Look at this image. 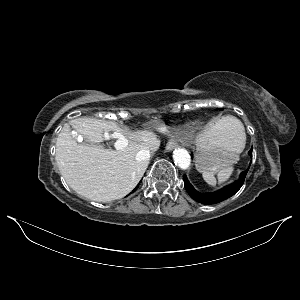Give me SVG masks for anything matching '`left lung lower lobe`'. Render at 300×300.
Returning a JSON list of instances; mask_svg holds the SVG:
<instances>
[{
  "mask_svg": "<svg viewBox=\"0 0 300 300\" xmlns=\"http://www.w3.org/2000/svg\"><path fill=\"white\" fill-rule=\"evenodd\" d=\"M248 154L252 157V149L248 152ZM247 172L248 169L241 172L239 179L234 183L216 192L207 193V194L198 192L189 183L186 175L183 177V181H184V186L186 188V191L188 192V194L192 199L205 205H212V204H217L219 202H222L228 199L229 197L233 196L234 194H236L238 190L241 188V186L243 185Z\"/></svg>",
  "mask_w": 300,
  "mask_h": 300,
  "instance_id": "obj_1",
  "label": "left lung lower lobe"
}]
</instances>
